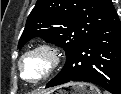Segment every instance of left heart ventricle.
<instances>
[{
    "instance_id": "left-heart-ventricle-1",
    "label": "left heart ventricle",
    "mask_w": 121,
    "mask_h": 94,
    "mask_svg": "<svg viewBox=\"0 0 121 94\" xmlns=\"http://www.w3.org/2000/svg\"><path fill=\"white\" fill-rule=\"evenodd\" d=\"M47 68V62L41 55L28 57L23 62L24 74L28 79L37 80L40 78Z\"/></svg>"
}]
</instances>
